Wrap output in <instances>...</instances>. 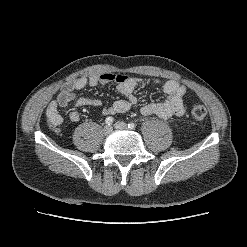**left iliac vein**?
Instances as JSON below:
<instances>
[{
	"instance_id": "4c4485c4",
	"label": "left iliac vein",
	"mask_w": 247,
	"mask_h": 247,
	"mask_svg": "<svg viewBox=\"0 0 247 247\" xmlns=\"http://www.w3.org/2000/svg\"><path fill=\"white\" fill-rule=\"evenodd\" d=\"M114 127H115L116 129H120V130H125V129L128 128V127H127V124H126L125 122H122V121L116 122V123L114 124Z\"/></svg>"
}]
</instances>
